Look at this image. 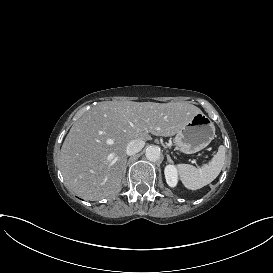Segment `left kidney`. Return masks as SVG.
I'll list each match as a JSON object with an SVG mask.
<instances>
[{
	"label": "left kidney",
	"instance_id": "1",
	"mask_svg": "<svg viewBox=\"0 0 273 273\" xmlns=\"http://www.w3.org/2000/svg\"><path fill=\"white\" fill-rule=\"evenodd\" d=\"M164 175L166 183L171 188H176L179 184V173L177 166L174 164H167L164 168Z\"/></svg>",
	"mask_w": 273,
	"mask_h": 273
}]
</instances>
